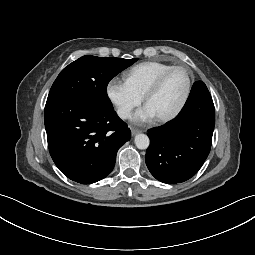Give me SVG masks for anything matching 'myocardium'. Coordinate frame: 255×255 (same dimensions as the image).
Listing matches in <instances>:
<instances>
[{
	"label": "myocardium",
	"instance_id": "obj_1",
	"mask_svg": "<svg viewBox=\"0 0 255 255\" xmlns=\"http://www.w3.org/2000/svg\"><path fill=\"white\" fill-rule=\"evenodd\" d=\"M183 70L186 75H187V87H186V91L181 99V101L179 102V104L176 106V108L171 111L170 113L163 115V116H158L157 119L159 121L162 122H166L169 120H172L173 118H175L184 108V106L186 105L189 96L191 94V90H192V75L190 73V71L185 67V66H181V65H176V66H172L171 68L167 69L166 71H164L156 80L155 82L150 86V88L147 90V92L144 95V100L145 103L147 104L148 100L154 95L156 94L162 87V85L164 84L165 80L167 79V77L175 70Z\"/></svg>",
	"mask_w": 255,
	"mask_h": 255
}]
</instances>
